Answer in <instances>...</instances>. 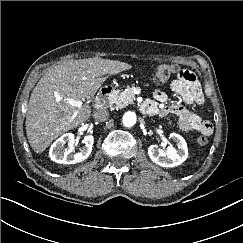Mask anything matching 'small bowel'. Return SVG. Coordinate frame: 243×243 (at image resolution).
<instances>
[{"mask_svg": "<svg viewBox=\"0 0 243 243\" xmlns=\"http://www.w3.org/2000/svg\"><path fill=\"white\" fill-rule=\"evenodd\" d=\"M186 77H179L170 83V89L179 94L182 103L171 105H159L167 101V93L162 89H155L153 92V100H147L142 105V110L150 115L165 117L167 115H175L178 117L179 127L184 131H197L205 136L213 133V126L209 121L203 120L190 106L193 104H201L203 102V94L200 85L195 77L189 71Z\"/></svg>", "mask_w": 243, "mask_h": 243, "instance_id": "small-bowel-1", "label": "small bowel"}]
</instances>
